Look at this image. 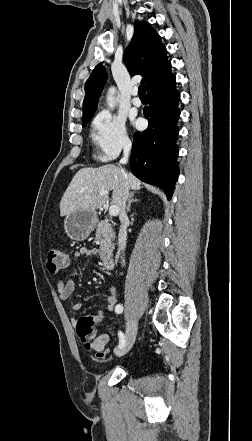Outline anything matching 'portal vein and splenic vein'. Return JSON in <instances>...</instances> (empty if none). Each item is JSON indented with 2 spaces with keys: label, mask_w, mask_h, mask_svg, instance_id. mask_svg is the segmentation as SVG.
<instances>
[{
  "label": "portal vein and splenic vein",
  "mask_w": 252,
  "mask_h": 441,
  "mask_svg": "<svg viewBox=\"0 0 252 441\" xmlns=\"http://www.w3.org/2000/svg\"><path fill=\"white\" fill-rule=\"evenodd\" d=\"M108 194H109V191H106V190H103V191L99 192V195H101V196L102 195H108ZM86 198H90V196H86ZM119 212H120V208L118 206H116V205H111L110 206L109 214L111 216H117L119 214Z\"/></svg>",
  "instance_id": "obj_1"
}]
</instances>
